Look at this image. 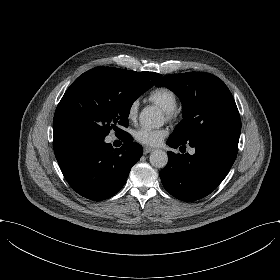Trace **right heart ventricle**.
<instances>
[{
	"label": "right heart ventricle",
	"mask_w": 280,
	"mask_h": 280,
	"mask_svg": "<svg viewBox=\"0 0 280 280\" xmlns=\"http://www.w3.org/2000/svg\"><path fill=\"white\" fill-rule=\"evenodd\" d=\"M148 99L159 105L164 111L173 110L177 107L178 98L176 93L168 87L158 86L153 88L149 94Z\"/></svg>",
	"instance_id": "1"
}]
</instances>
